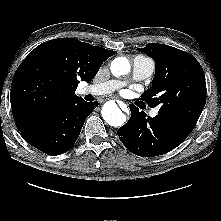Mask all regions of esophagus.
<instances>
[{"label":"esophagus","instance_id":"esophagus-1","mask_svg":"<svg viewBox=\"0 0 221 221\" xmlns=\"http://www.w3.org/2000/svg\"><path fill=\"white\" fill-rule=\"evenodd\" d=\"M106 100H108L107 97L103 98V101H106ZM120 106H121V107H125L126 105H125L123 102H121V103H120Z\"/></svg>","mask_w":221,"mask_h":221}]
</instances>
